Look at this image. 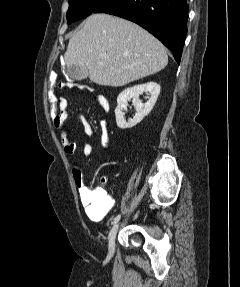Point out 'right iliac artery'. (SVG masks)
<instances>
[{
  "instance_id": "obj_1",
  "label": "right iliac artery",
  "mask_w": 240,
  "mask_h": 287,
  "mask_svg": "<svg viewBox=\"0 0 240 287\" xmlns=\"http://www.w3.org/2000/svg\"><path fill=\"white\" fill-rule=\"evenodd\" d=\"M120 214L119 215H117L114 219H113V221H112V224H116L119 220H120Z\"/></svg>"
}]
</instances>
